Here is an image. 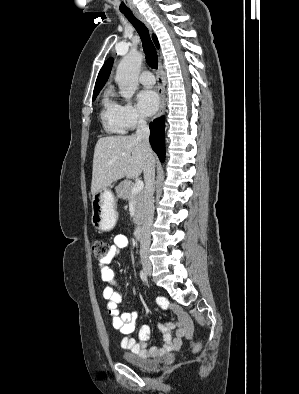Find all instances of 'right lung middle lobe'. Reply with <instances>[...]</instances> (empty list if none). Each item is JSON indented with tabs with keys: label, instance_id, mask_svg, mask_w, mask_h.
<instances>
[{
	"label": "right lung middle lobe",
	"instance_id": "obj_1",
	"mask_svg": "<svg viewBox=\"0 0 299 394\" xmlns=\"http://www.w3.org/2000/svg\"><path fill=\"white\" fill-rule=\"evenodd\" d=\"M98 94H94L93 95V100H95V98L97 97Z\"/></svg>",
	"mask_w": 299,
	"mask_h": 394
}]
</instances>
